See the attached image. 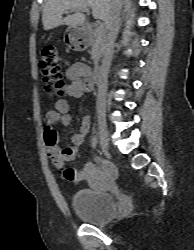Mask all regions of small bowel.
<instances>
[{"label":"small bowel","mask_w":194,"mask_h":250,"mask_svg":"<svg viewBox=\"0 0 194 250\" xmlns=\"http://www.w3.org/2000/svg\"><path fill=\"white\" fill-rule=\"evenodd\" d=\"M67 78L69 83L65 85L64 93L69 97H81L93 88V82L90 78V68L85 63L79 62L73 64L67 70ZM72 119L69 103L65 99L56 101L54 109L47 112L43 130L47 153L55 167L61 171L65 180L72 183H80L83 181L92 183L98 175V170L94 164L86 163L81 169L65 167V163L75 159L78 148L84 143L91 124L89 116H83L79 131L71 138V144L60 147L56 126L58 124L69 126ZM102 171L108 178H114L116 176V170L111 164H105Z\"/></svg>","instance_id":"obj_1"}]
</instances>
